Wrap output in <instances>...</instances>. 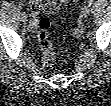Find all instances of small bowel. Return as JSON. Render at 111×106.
Listing matches in <instances>:
<instances>
[{
	"mask_svg": "<svg viewBox=\"0 0 111 106\" xmlns=\"http://www.w3.org/2000/svg\"><path fill=\"white\" fill-rule=\"evenodd\" d=\"M68 0H52L44 1L43 3L35 2L33 4V14L35 15L41 7L46 14H53L58 11L63 5L67 4Z\"/></svg>",
	"mask_w": 111,
	"mask_h": 106,
	"instance_id": "1",
	"label": "small bowel"
}]
</instances>
